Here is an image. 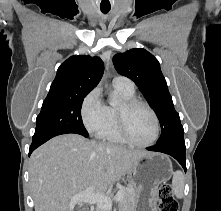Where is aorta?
Instances as JSON below:
<instances>
[{
    "instance_id": "1",
    "label": "aorta",
    "mask_w": 221,
    "mask_h": 211,
    "mask_svg": "<svg viewBox=\"0 0 221 211\" xmlns=\"http://www.w3.org/2000/svg\"><path fill=\"white\" fill-rule=\"evenodd\" d=\"M110 105H111V106H115V105H116V100H115L114 97H113L112 100L110 101Z\"/></svg>"
}]
</instances>
